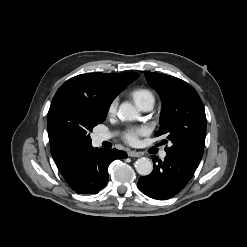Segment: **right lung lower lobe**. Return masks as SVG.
<instances>
[{"label": "right lung lower lobe", "mask_w": 247, "mask_h": 247, "mask_svg": "<svg viewBox=\"0 0 247 247\" xmlns=\"http://www.w3.org/2000/svg\"><path fill=\"white\" fill-rule=\"evenodd\" d=\"M124 151L86 147L73 154L59 171L68 185L78 194H97L108 182V166L119 158H126Z\"/></svg>", "instance_id": "obj_1"}]
</instances>
